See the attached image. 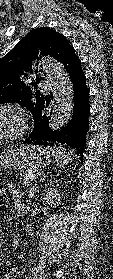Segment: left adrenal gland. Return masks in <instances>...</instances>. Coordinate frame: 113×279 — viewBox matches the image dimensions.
Here are the masks:
<instances>
[{
  "mask_svg": "<svg viewBox=\"0 0 113 279\" xmlns=\"http://www.w3.org/2000/svg\"><path fill=\"white\" fill-rule=\"evenodd\" d=\"M46 177H47V176L44 175L43 178L39 180V182H43V181L45 180ZM37 185H38V183L36 182V183L34 184V186L30 189V192H29V193H30L31 195L34 194V192H35V190H36V188H37Z\"/></svg>",
  "mask_w": 113,
  "mask_h": 279,
  "instance_id": "left-adrenal-gland-1",
  "label": "left adrenal gland"
}]
</instances>
